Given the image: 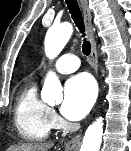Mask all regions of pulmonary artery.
Masks as SVG:
<instances>
[{
    "instance_id": "e3ab8cb5",
    "label": "pulmonary artery",
    "mask_w": 131,
    "mask_h": 151,
    "mask_svg": "<svg viewBox=\"0 0 131 151\" xmlns=\"http://www.w3.org/2000/svg\"><path fill=\"white\" fill-rule=\"evenodd\" d=\"M80 66L79 58L71 53L62 55L55 63V69L62 74L76 71Z\"/></svg>"
}]
</instances>
